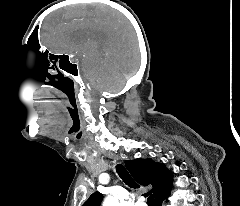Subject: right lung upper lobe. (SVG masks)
Listing matches in <instances>:
<instances>
[{
    "instance_id": "cb5924a9",
    "label": "right lung upper lobe",
    "mask_w": 240,
    "mask_h": 206,
    "mask_svg": "<svg viewBox=\"0 0 240 206\" xmlns=\"http://www.w3.org/2000/svg\"><path fill=\"white\" fill-rule=\"evenodd\" d=\"M125 165L133 178L142 186H152L151 192L155 201L170 193L172 175L164 164L155 163L151 159L126 160ZM103 195L93 193L82 206H100Z\"/></svg>"
}]
</instances>
